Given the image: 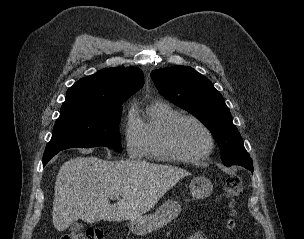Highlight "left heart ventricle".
I'll return each mask as SVG.
<instances>
[{
    "label": "left heart ventricle",
    "instance_id": "1",
    "mask_svg": "<svg viewBox=\"0 0 304 239\" xmlns=\"http://www.w3.org/2000/svg\"><path fill=\"white\" fill-rule=\"evenodd\" d=\"M175 143L183 153L197 155L206 150L208 138L199 125L193 121L185 120L176 128Z\"/></svg>",
    "mask_w": 304,
    "mask_h": 239
}]
</instances>
